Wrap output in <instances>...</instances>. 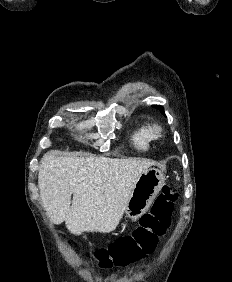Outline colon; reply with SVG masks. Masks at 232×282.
<instances>
[{"mask_svg": "<svg viewBox=\"0 0 232 282\" xmlns=\"http://www.w3.org/2000/svg\"><path fill=\"white\" fill-rule=\"evenodd\" d=\"M177 198L178 193L173 187L163 186L150 211L142 216L132 234L94 252L93 257L98 265L101 268L126 267L152 253L159 237L170 226Z\"/></svg>", "mask_w": 232, "mask_h": 282, "instance_id": "obj_1", "label": "colon"}]
</instances>
